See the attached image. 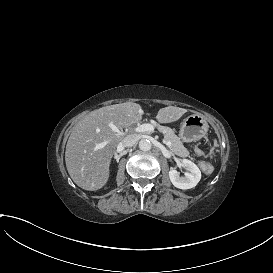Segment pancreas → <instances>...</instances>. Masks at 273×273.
Masks as SVG:
<instances>
[{
    "instance_id": "1",
    "label": "pancreas",
    "mask_w": 273,
    "mask_h": 273,
    "mask_svg": "<svg viewBox=\"0 0 273 273\" xmlns=\"http://www.w3.org/2000/svg\"><path fill=\"white\" fill-rule=\"evenodd\" d=\"M155 127L164 134V138L172 141V144L168 145L170 151L180 157H187L189 155L188 150L184 147L180 138L175 135L174 131L171 128L161 126L160 124H156Z\"/></svg>"
}]
</instances>
